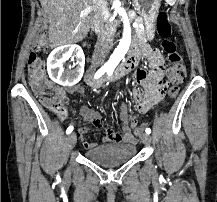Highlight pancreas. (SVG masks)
I'll list each match as a JSON object with an SVG mask.
<instances>
[{
  "mask_svg": "<svg viewBox=\"0 0 217 202\" xmlns=\"http://www.w3.org/2000/svg\"><path fill=\"white\" fill-rule=\"evenodd\" d=\"M142 18H136V22H140ZM136 34H138L139 38H141L142 41H145L147 38L144 36V31L141 30V28H136Z\"/></svg>",
  "mask_w": 217,
  "mask_h": 202,
  "instance_id": "1",
  "label": "pancreas"
}]
</instances>
